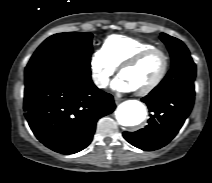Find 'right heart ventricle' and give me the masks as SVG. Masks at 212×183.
Instances as JSON below:
<instances>
[{"label":"right heart ventricle","mask_w":212,"mask_h":183,"mask_svg":"<svg viewBox=\"0 0 212 183\" xmlns=\"http://www.w3.org/2000/svg\"><path fill=\"white\" fill-rule=\"evenodd\" d=\"M155 47L153 43L121 35L108 37L102 49L116 67L121 66L136 54Z\"/></svg>","instance_id":"1"}]
</instances>
